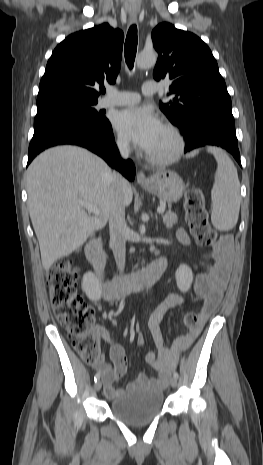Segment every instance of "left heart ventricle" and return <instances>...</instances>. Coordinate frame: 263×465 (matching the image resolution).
Segmentation results:
<instances>
[{
    "label": "left heart ventricle",
    "mask_w": 263,
    "mask_h": 465,
    "mask_svg": "<svg viewBox=\"0 0 263 465\" xmlns=\"http://www.w3.org/2000/svg\"><path fill=\"white\" fill-rule=\"evenodd\" d=\"M175 147V141L171 134L164 128L157 142L149 152L154 156H166L170 154Z\"/></svg>",
    "instance_id": "left-heart-ventricle-1"
}]
</instances>
